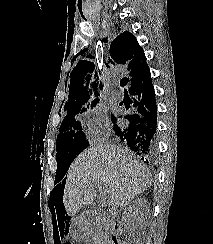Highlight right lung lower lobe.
Returning <instances> with one entry per match:
<instances>
[{
  "label": "right lung lower lobe",
  "mask_w": 213,
  "mask_h": 244,
  "mask_svg": "<svg viewBox=\"0 0 213 244\" xmlns=\"http://www.w3.org/2000/svg\"><path fill=\"white\" fill-rule=\"evenodd\" d=\"M129 93L133 96V113L118 117L124 122H118L113 115V130L137 156L150 161L157 154V107L149 68L129 88Z\"/></svg>",
  "instance_id": "1"
}]
</instances>
